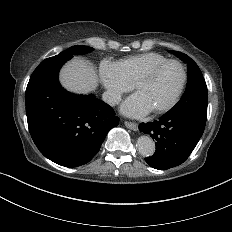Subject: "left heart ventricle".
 I'll return each instance as SVG.
<instances>
[{
  "instance_id": "b2bd125f",
  "label": "left heart ventricle",
  "mask_w": 232,
  "mask_h": 232,
  "mask_svg": "<svg viewBox=\"0 0 232 232\" xmlns=\"http://www.w3.org/2000/svg\"><path fill=\"white\" fill-rule=\"evenodd\" d=\"M182 83V71L176 64L161 68L151 79L141 83L136 92L151 107L152 111L167 105Z\"/></svg>"
}]
</instances>
